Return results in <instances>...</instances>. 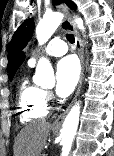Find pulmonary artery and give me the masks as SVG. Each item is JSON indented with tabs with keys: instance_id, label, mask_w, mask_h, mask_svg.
<instances>
[{
	"instance_id": "pulmonary-artery-1",
	"label": "pulmonary artery",
	"mask_w": 114,
	"mask_h": 156,
	"mask_svg": "<svg viewBox=\"0 0 114 156\" xmlns=\"http://www.w3.org/2000/svg\"><path fill=\"white\" fill-rule=\"evenodd\" d=\"M67 50L66 43L60 37H55L42 51L36 52L29 59V65L33 66L42 55L59 57L64 55Z\"/></svg>"
}]
</instances>
